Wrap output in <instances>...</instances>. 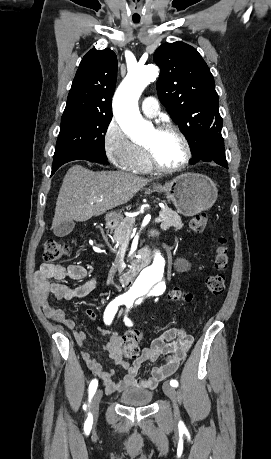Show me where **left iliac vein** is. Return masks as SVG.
Returning a JSON list of instances; mask_svg holds the SVG:
<instances>
[{
	"label": "left iliac vein",
	"mask_w": 271,
	"mask_h": 459,
	"mask_svg": "<svg viewBox=\"0 0 271 459\" xmlns=\"http://www.w3.org/2000/svg\"><path fill=\"white\" fill-rule=\"evenodd\" d=\"M163 391L171 399L172 405H173V411L176 414L178 411V406H177V397H176L175 389L168 382H164Z\"/></svg>",
	"instance_id": "obj_1"
}]
</instances>
